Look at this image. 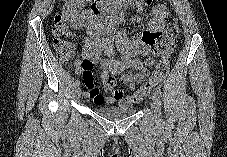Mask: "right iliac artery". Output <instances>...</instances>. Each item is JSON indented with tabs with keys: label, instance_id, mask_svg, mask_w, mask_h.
<instances>
[{
	"label": "right iliac artery",
	"instance_id": "right-iliac-artery-1",
	"mask_svg": "<svg viewBox=\"0 0 227 157\" xmlns=\"http://www.w3.org/2000/svg\"><path fill=\"white\" fill-rule=\"evenodd\" d=\"M80 85V81L79 80H76L75 82H74V86L75 87H78Z\"/></svg>",
	"mask_w": 227,
	"mask_h": 157
}]
</instances>
